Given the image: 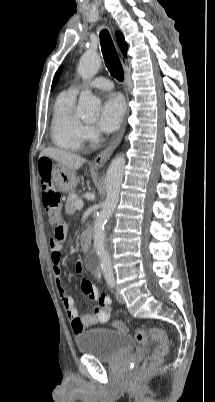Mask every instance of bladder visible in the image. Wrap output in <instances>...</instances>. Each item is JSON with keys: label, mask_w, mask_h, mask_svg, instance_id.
<instances>
[{"label": "bladder", "mask_w": 215, "mask_h": 402, "mask_svg": "<svg viewBox=\"0 0 215 402\" xmlns=\"http://www.w3.org/2000/svg\"><path fill=\"white\" fill-rule=\"evenodd\" d=\"M75 344L82 354L101 362H112L131 352L135 347V340L121 331L94 328L78 333L75 336Z\"/></svg>", "instance_id": "1"}]
</instances>
